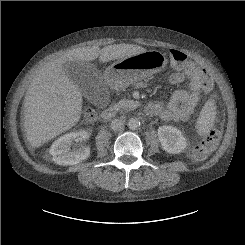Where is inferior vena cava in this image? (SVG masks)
Instances as JSON below:
<instances>
[{
  "label": "inferior vena cava",
  "mask_w": 245,
  "mask_h": 245,
  "mask_svg": "<svg viewBox=\"0 0 245 245\" xmlns=\"http://www.w3.org/2000/svg\"><path fill=\"white\" fill-rule=\"evenodd\" d=\"M123 128V122L119 119H114L111 122V129L114 131H119Z\"/></svg>",
  "instance_id": "inferior-vena-cava-1"
}]
</instances>
